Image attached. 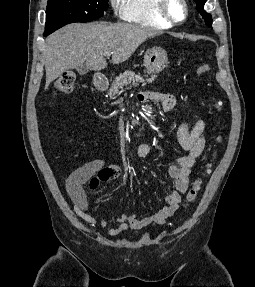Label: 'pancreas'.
Listing matches in <instances>:
<instances>
[{
    "label": "pancreas",
    "mask_w": 255,
    "mask_h": 287,
    "mask_svg": "<svg viewBox=\"0 0 255 287\" xmlns=\"http://www.w3.org/2000/svg\"><path fill=\"white\" fill-rule=\"evenodd\" d=\"M145 78L146 80L141 78L140 74H135V72H129V70H126V72L120 74L118 78H115V82H113V84H111V88H109L108 96H110V98H113V96H119L121 92L128 90V88H124V86L132 88V86H139V84L146 86L147 82L148 84H152L158 76H150V78L145 76Z\"/></svg>",
    "instance_id": "1"
}]
</instances>
